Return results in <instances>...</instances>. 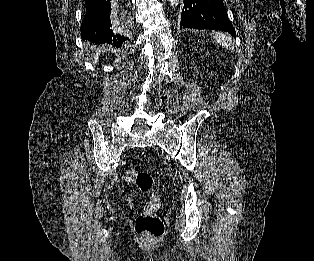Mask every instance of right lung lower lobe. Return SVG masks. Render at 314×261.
<instances>
[{
  "label": "right lung lower lobe",
  "mask_w": 314,
  "mask_h": 261,
  "mask_svg": "<svg viewBox=\"0 0 314 261\" xmlns=\"http://www.w3.org/2000/svg\"><path fill=\"white\" fill-rule=\"evenodd\" d=\"M86 14L81 24V38L94 45L112 44L119 47L128 38L121 34L118 25L111 24V6L115 0H84Z\"/></svg>",
  "instance_id": "right-lung-lower-lobe-1"
}]
</instances>
